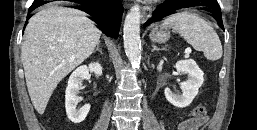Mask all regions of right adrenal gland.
Segmentation results:
<instances>
[{
	"label": "right adrenal gland",
	"mask_w": 257,
	"mask_h": 130,
	"mask_svg": "<svg viewBox=\"0 0 257 130\" xmlns=\"http://www.w3.org/2000/svg\"><path fill=\"white\" fill-rule=\"evenodd\" d=\"M99 52L100 54H102V50L100 49V41L97 43V48L96 50L93 51V53Z\"/></svg>",
	"instance_id": "obj_1"
}]
</instances>
